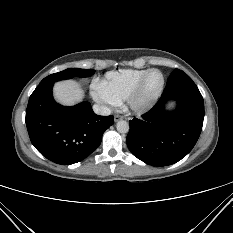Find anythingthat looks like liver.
Listing matches in <instances>:
<instances>
[{"label":"liver","mask_w":233,"mask_h":233,"mask_svg":"<svg viewBox=\"0 0 233 233\" xmlns=\"http://www.w3.org/2000/svg\"><path fill=\"white\" fill-rule=\"evenodd\" d=\"M53 94L57 102L67 106L79 103L84 97V91L74 80L57 82L54 85Z\"/></svg>","instance_id":"6515ba94"}]
</instances>
